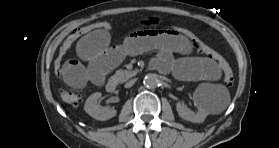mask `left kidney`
I'll return each instance as SVG.
<instances>
[{"mask_svg":"<svg viewBox=\"0 0 279 148\" xmlns=\"http://www.w3.org/2000/svg\"><path fill=\"white\" fill-rule=\"evenodd\" d=\"M194 104L198 111L195 113L187 108L183 102H178L176 104V110L181 118L193 123H202L207 115L210 113L209 109L206 107L198 91L193 94Z\"/></svg>","mask_w":279,"mask_h":148,"instance_id":"left-kidney-1","label":"left kidney"}]
</instances>
